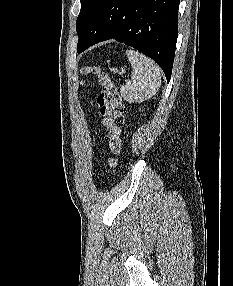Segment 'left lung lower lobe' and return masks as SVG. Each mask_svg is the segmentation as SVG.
<instances>
[{"label": "left lung lower lobe", "mask_w": 233, "mask_h": 286, "mask_svg": "<svg viewBox=\"0 0 233 286\" xmlns=\"http://www.w3.org/2000/svg\"><path fill=\"white\" fill-rule=\"evenodd\" d=\"M180 0H97L79 35L78 53L114 38L152 58L171 78Z\"/></svg>", "instance_id": "0a47b994"}]
</instances>
